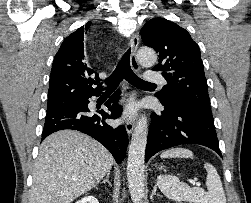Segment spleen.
I'll return each mask as SVG.
<instances>
[{"label":"spleen","instance_id":"spleen-1","mask_svg":"<svg viewBox=\"0 0 251 203\" xmlns=\"http://www.w3.org/2000/svg\"><path fill=\"white\" fill-rule=\"evenodd\" d=\"M160 157L193 158V153L186 148L176 147L164 151ZM204 168L207 171V192L201 188L190 187L187 184L180 182L178 177L170 175L158 176L157 185L167 198L176 202L226 203L222 182L215 167L209 163H205Z\"/></svg>","mask_w":251,"mask_h":203}]
</instances>
